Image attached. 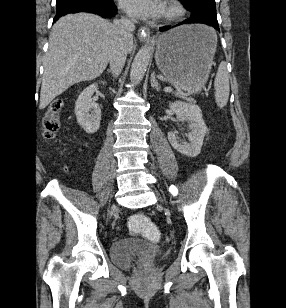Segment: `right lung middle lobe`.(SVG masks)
<instances>
[{
	"instance_id": "right-lung-middle-lobe-1",
	"label": "right lung middle lobe",
	"mask_w": 286,
	"mask_h": 308,
	"mask_svg": "<svg viewBox=\"0 0 286 308\" xmlns=\"http://www.w3.org/2000/svg\"><path fill=\"white\" fill-rule=\"evenodd\" d=\"M68 1H73V0H57V5Z\"/></svg>"
}]
</instances>
